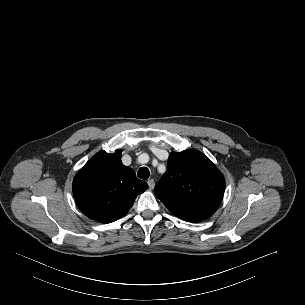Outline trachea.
<instances>
[{"mask_svg":"<svg viewBox=\"0 0 305 305\" xmlns=\"http://www.w3.org/2000/svg\"><path fill=\"white\" fill-rule=\"evenodd\" d=\"M150 175L149 169L147 167H141L138 170L137 176L141 179H148Z\"/></svg>","mask_w":305,"mask_h":305,"instance_id":"trachea-1","label":"trachea"}]
</instances>
